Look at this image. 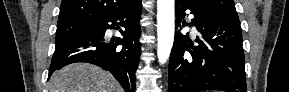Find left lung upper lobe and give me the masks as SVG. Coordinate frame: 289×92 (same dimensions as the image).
Returning a JSON list of instances; mask_svg holds the SVG:
<instances>
[{"instance_id": "left-lung-upper-lobe-1", "label": "left lung upper lobe", "mask_w": 289, "mask_h": 92, "mask_svg": "<svg viewBox=\"0 0 289 92\" xmlns=\"http://www.w3.org/2000/svg\"><path fill=\"white\" fill-rule=\"evenodd\" d=\"M219 15L239 22L238 14L233 0H192Z\"/></svg>"}]
</instances>
